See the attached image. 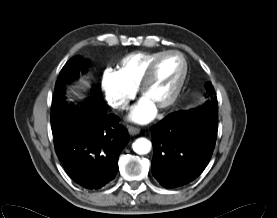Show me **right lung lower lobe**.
<instances>
[{
	"mask_svg": "<svg viewBox=\"0 0 277 218\" xmlns=\"http://www.w3.org/2000/svg\"><path fill=\"white\" fill-rule=\"evenodd\" d=\"M70 82V81H69ZM63 79L56 82L53 100L65 101ZM96 92L81 107L77 120L80 125L65 131L54 140L55 150L70 178L88 189H99L114 179L118 172V158L129 142L127 130L116 127L118 117L91 111Z\"/></svg>",
	"mask_w": 277,
	"mask_h": 218,
	"instance_id": "obj_1",
	"label": "right lung lower lobe"
}]
</instances>
